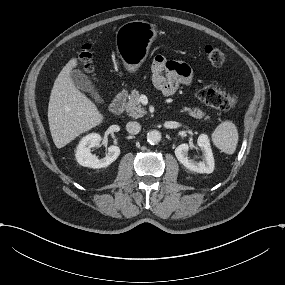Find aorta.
<instances>
[{
    "label": "aorta",
    "mask_w": 285,
    "mask_h": 285,
    "mask_svg": "<svg viewBox=\"0 0 285 285\" xmlns=\"http://www.w3.org/2000/svg\"><path fill=\"white\" fill-rule=\"evenodd\" d=\"M161 133L157 130H151L147 133V141L152 144H158L161 141Z\"/></svg>",
    "instance_id": "obj_1"
}]
</instances>
